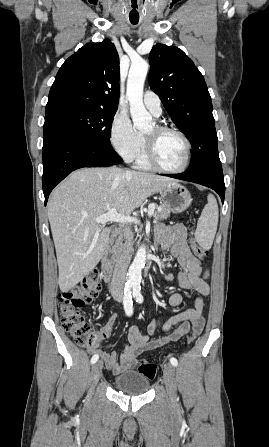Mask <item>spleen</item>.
Segmentation results:
<instances>
[{
    "label": "spleen",
    "instance_id": "1",
    "mask_svg": "<svg viewBox=\"0 0 269 447\" xmlns=\"http://www.w3.org/2000/svg\"><path fill=\"white\" fill-rule=\"evenodd\" d=\"M208 204H206L197 224L194 233L195 239L203 249H210L214 241L215 233L218 225V204L213 194L207 196Z\"/></svg>",
    "mask_w": 269,
    "mask_h": 447
}]
</instances>
